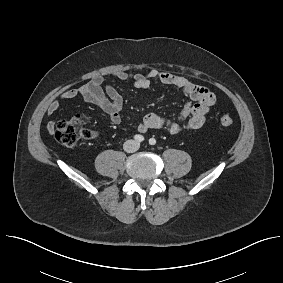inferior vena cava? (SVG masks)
<instances>
[{
  "instance_id": "inferior-vena-cava-1",
  "label": "inferior vena cava",
  "mask_w": 283,
  "mask_h": 283,
  "mask_svg": "<svg viewBox=\"0 0 283 283\" xmlns=\"http://www.w3.org/2000/svg\"><path fill=\"white\" fill-rule=\"evenodd\" d=\"M139 148V143L134 140H128L124 144V150L128 153L137 151Z\"/></svg>"
}]
</instances>
